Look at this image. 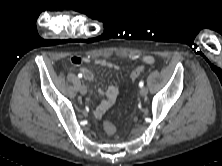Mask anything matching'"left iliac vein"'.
Masks as SVG:
<instances>
[{"instance_id":"left-iliac-vein-1","label":"left iliac vein","mask_w":222,"mask_h":166,"mask_svg":"<svg viewBox=\"0 0 222 166\" xmlns=\"http://www.w3.org/2000/svg\"><path fill=\"white\" fill-rule=\"evenodd\" d=\"M139 92H140V95L146 96L148 93V89L146 87H141Z\"/></svg>"}]
</instances>
